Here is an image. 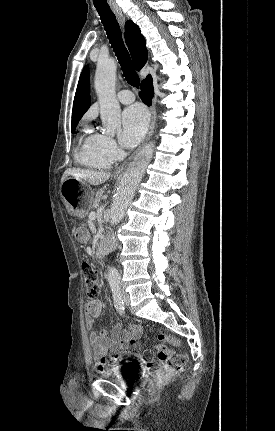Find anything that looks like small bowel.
<instances>
[{
  "label": "small bowel",
  "mask_w": 275,
  "mask_h": 431,
  "mask_svg": "<svg viewBox=\"0 0 275 431\" xmlns=\"http://www.w3.org/2000/svg\"><path fill=\"white\" fill-rule=\"evenodd\" d=\"M76 238L79 242L85 243L88 241L89 235L85 229H78ZM102 310V302L98 299H91L85 307V320L86 327L90 333V345L96 358L106 355L107 352H113L116 354V360L122 354L129 353L127 351L129 333L122 331L120 324H116L111 330L96 331L94 320L101 315ZM131 331L135 336H140L143 332L142 327L138 325H132Z\"/></svg>",
  "instance_id": "obj_1"
}]
</instances>
